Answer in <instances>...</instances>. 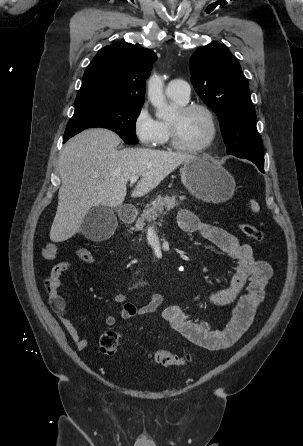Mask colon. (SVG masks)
<instances>
[{"instance_id":"1","label":"colon","mask_w":303,"mask_h":446,"mask_svg":"<svg viewBox=\"0 0 303 446\" xmlns=\"http://www.w3.org/2000/svg\"><path fill=\"white\" fill-rule=\"evenodd\" d=\"M239 230L246 237L254 241H262L264 239V234L257 227L248 223H240L238 225ZM77 257L86 263H91L94 261V256L92 252L87 248H79L76 251ZM48 284V282H47ZM50 289V286L48 284ZM51 292V290H50ZM121 343V335L115 330L105 331L99 340L100 352L104 355H114ZM151 361L157 363L161 366L171 367L179 366L188 363L192 359L191 354L178 355L165 350H157L150 355Z\"/></svg>"}]
</instances>
